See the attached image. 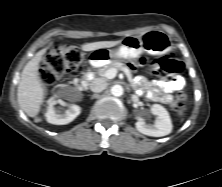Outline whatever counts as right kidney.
I'll return each mask as SVG.
<instances>
[{
    "mask_svg": "<svg viewBox=\"0 0 222 187\" xmlns=\"http://www.w3.org/2000/svg\"><path fill=\"white\" fill-rule=\"evenodd\" d=\"M57 103L65 105L62 100H56L54 97L49 99L47 112L45 114L47 122L55 125H65L72 122L80 113L81 109L78 105L71 104L67 110L56 109Z\"/></svg>",
    "mask_w": 222,
    "mask_h": 187,
    "instance_id": "obj_1",
    "label": "right kidney"
}]
</instances>
